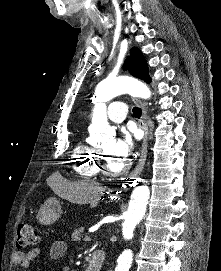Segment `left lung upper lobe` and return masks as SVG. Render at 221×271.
I'll return each mask as SVG.
<instances>
[{
    "mask_svg": "<svg viewBox=\"0 0 221 271\" xmlns=\"http://www.w3.org/2000/svg\"><path fill=\"white\" fill-rule=\"evenodd\" d=\"M123 69L129 70L133 76L140 78L147 83L151 82V78L148 73V65L143 54L136 47L131 49L129 56L124 63Z\"/></svg>",
    "mask_w": 221,
    "mask_h": 271,
    "instance_id": "5c2ea615",
    "label": "left lung upper lobe"
}]
</instances>
